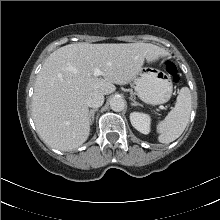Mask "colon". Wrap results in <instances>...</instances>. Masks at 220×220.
Returning a JSON list of instances; mask_svg holds the SVG:
<instances>
[{"label":"colon","mask_w":220,"mask_h":220,"mask_svg":"<svg viewBox=\"0 0 220 220\" xmlns=\"http://www.w3.org/2000/svg\"><path fill=\"white\" fill-rule=\"evenodd\" d=\"M164 65H165L166 72L172 77L173 81L178 82L179 76H178L176 65L168 59L164 60Z\"/></svg>","instance_id":"1"}]
</instances>
